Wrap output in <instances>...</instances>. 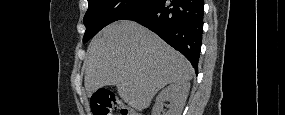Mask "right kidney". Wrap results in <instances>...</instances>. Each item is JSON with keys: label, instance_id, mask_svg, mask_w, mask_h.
<instances>
[{"label": "right kidney", "instance_id": "ca27d5eb", "mask_svg": "<svg viewBox=\"0 0 285 115\" xmlns=\"http://www.w3.org/2000/svg\"><path fill=\"white\" fill-rule=\"evenodd\" d=\"M190 83L175 82L163 89L156 97L152 115H180L188 97ZM169 101L168 110L164 111V102Z\"/></svg>", "mask_w": 285, "mask_h": 115}]
</instances>
